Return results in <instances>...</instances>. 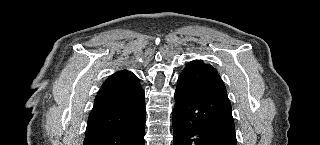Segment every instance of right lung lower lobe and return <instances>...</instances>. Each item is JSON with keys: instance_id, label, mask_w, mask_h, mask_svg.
I'll return each mask as SVG.
<instances>
[{"instance_id": "1", "label": "right lung lower lobe", "mask_w": 320, "mask_h": 145, "mask_svg": "<svg viewBox=\"0 0 320 145\" xmlns=\"http://www.w3.org/2000/svg\"><path fill=\"white\" fill-rule=\"evenodd\" d=\"M93 107L83 145H144L145 96L136 76L107 84Z\"/></svg>"}]
</instances>
